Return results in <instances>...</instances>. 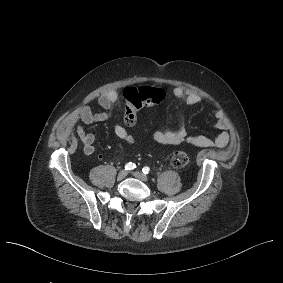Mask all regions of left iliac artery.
<instances>
[{
  "mask_svg": "<svg viewBox=\"0 0 283 283\" xmlns=\"http://www.w3.org/2000/svg\"><path fill=\"white\" fill-rule=\"evenodd\" d=\"M142 172H143L144 174H148V173L150 172V168L147 167V166H145V167L142 169Z\"/></svg>",
  "mask_w": 283,
  "mask_h": 283,
  "instance_id": "left-iliac-artery-1",
  "label": "left iliac artery"
}]
</instances>
